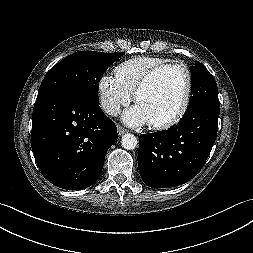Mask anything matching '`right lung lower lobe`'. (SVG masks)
<instances>
[{
  "mask_svg": "<svg viewBox=\"0 0 253 253\" xmlns=\"http://www.w3.org/2000/svg\"><path fill=\"white\" fill-rule=\"evenodd\" d=\"M32 117L31 146L43 176L64 189L94 184L118 138L116 125L99 105L50 93L36 99Z\"/></svg>",
  "mask_w": 253,
  "mask_h": 253,
  "instance_id": "obj_1",
  "label": "right lung lower lobe"
}]
</instances>
